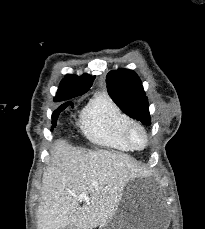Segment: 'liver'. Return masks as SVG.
<instances>
[{
    "label": "liver",
    "instance_id": "1",
    "mask_svg": "<svg viewBox=\"0 0 205 229\" xmlns=\"http://www.w3.org/2000/svg\"><path fill=\"white\" fill-rule=\"evenodd\" d=\"M52 164L42 178L39 229H92L110 219L127 183L137 176V162L108 150L73 148L54 143ZM86 192L87 199L78 196ZM82 203V206L80 205Z\"/></svg>",
    "mask_w": 205,
    "mask_h": 229
}]
</instances>
